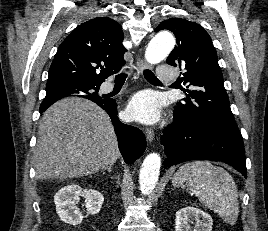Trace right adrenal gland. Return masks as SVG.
Instances as JSON below:
<instances>
[{"mask_svg": "<svg viewBox=\"0 0 268 231\" xmlns=\"http://www.w3.org/2000/svg\"><path fill=\"white\" fill-rule=\"evenodd\" d=\"M107 170L109 173H112V165L107 166L106 168L102 169V171Z\"/></svg>", "mask_w": 268, "mask_h": 231, "instance_id": "obj_1", "label": "right adrenal gland"}]
</instances>
